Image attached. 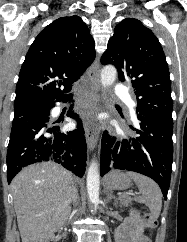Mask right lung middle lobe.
Returning a JSON list of instances; mask_svg holds the SVG:
<instances>
[{
	"mask_svg": "<svg viewBox=\"0 0 187 242\" xmlns=\"http://www.w3.org/2000/svg\"><path fill=\"white\" fill-rule=\"evenodd\" d=\"M46 106L47 105H29V106L15 107L14 108V119L20 118L29 113L44 109V108H46Z\"/></svg>",
	"mask_w": 187,
	"mask_h": 242,
	"instance_id": "right-lung-middle-lobe-1",
	"label": "right lung middle lobe"
}]
</instances>
